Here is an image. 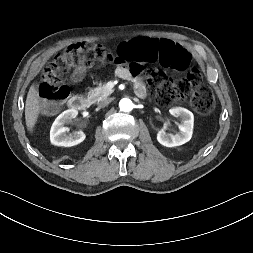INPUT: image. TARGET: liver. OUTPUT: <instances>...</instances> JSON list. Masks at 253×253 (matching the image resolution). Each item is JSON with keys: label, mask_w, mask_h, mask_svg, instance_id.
Here are the masks:
<instances>
[{"label": "liver", "mask_w": 253, "mask_h": 253, "mask_svg": "<svg viewBox=\"0 0 253 253\" xmlns=\"http://www.w3.org/2000/svg\"><path fill=\"white\" fill-rule=\"evenodd\" d=\"M40 113V98L34 85L28 91L25 102V120L28 131L32 132Z\"/></svg>", "instance_id": "1"}]
</instances>
